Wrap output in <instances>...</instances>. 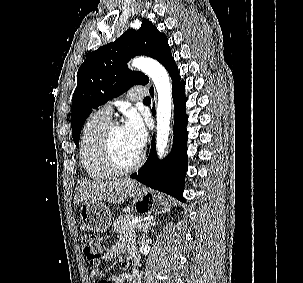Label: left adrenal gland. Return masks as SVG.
<instances>
[{
    "instance_id": "obj_1",
    "label": "left adrenal gland",
    "mask_w": 303,
    "mask_h": 283,
    "mask_svg": "<svg viewBox=\"0 0 303 283\" xmlns=\"http://www.w3.org/2000/svg\"><path fill=\"white\" fill-rule=\"evenodd\" d=\"M156 225V222H155V219H152L150 221H148L145 226L143 227L142 229V236H141V240L144 241L145 239V236L147 235L148 233V230L152 227V226H155Z\"/></svg>"
}]
</instances>
